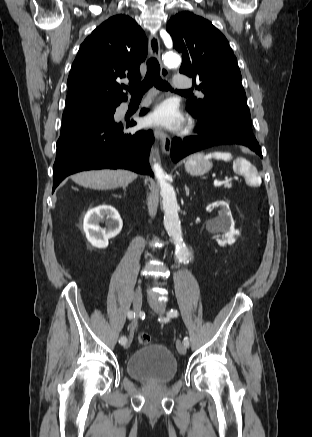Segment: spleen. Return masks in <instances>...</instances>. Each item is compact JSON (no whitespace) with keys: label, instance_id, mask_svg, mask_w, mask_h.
Here are the masks:
<instances>
[{"label":"spleen","instance_id":"obj_1","mask_svg":"<svg viewBox=\"0 0 312 437\" xmlns=\"http://www.w3.org/2000/svg\"><path fill=\"white\" fill-rule=\"evenodd\" d=\"M214 157L218 160L223 161H230L232 159V155L228 152H214L210 153L205 158H211ZM233 169L235 172L245 174L249 180V182L253 185H260L261 184V178L257 176L255 173H253L251 169V164L244 158H237L234 161Z\"/></svg>","mask_w":312,"mask_h":437}]
</instances>
